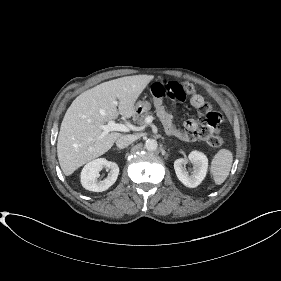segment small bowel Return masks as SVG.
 I'll return each mask as SVG.
<instances>
[{"label": "small bowel", "mask_w": 281, "mask_h": 281, "mask_svg": "<svg viewBox=\"0 0 281 281\" xmlns=\"http://www.w3.org/2000/svg\"><path fill=\"white\" fill-rule=\"evenodd\" d=\"M190 104L195 109H207L208 102L200 94H194L190 99ZM157 114L165 128L167 134L172 135L184 141H192L198 139L196 133L199 131V125L194 119L184 121L182 127L175 126L171 114L165 109L161 102L155 103Z\"/></svg>", "instance_id": "obj_1"}]
</instances>
